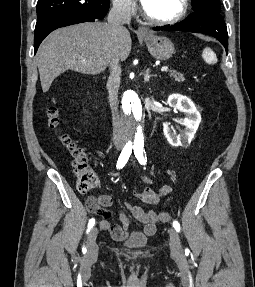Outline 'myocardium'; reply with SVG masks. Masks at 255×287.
<instances>
[{"mask_svg":"<svg viewBox=\"0 0 255 287\" xmlns=\"http://www.w3.org/2000/svg\"><path fill=\"white\" fill-rule=\"evenodd\" d=\"M139 33H149V32H139ZM169 33H175V32H169ZM130 39H137V38H130ZM145 39H152V38H145ZM166 39H175V38H166ZM129 48H135V47H129ZM151 48V47H146Z\"/></svg>","mask_w":255,"mask_h":287,"instance_id":"1","label":"myocardium"}]
</instances>
